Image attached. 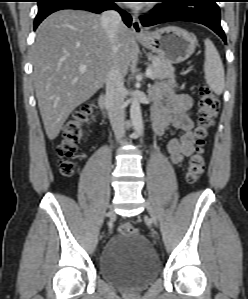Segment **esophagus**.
Returning <instances> with one entry per match:
<instances>
[{
  "mask_svg": "<svg viewBox=\"0 0 248 299\" xmlns=\"http://www.w3.org/2000/svg\"><path fill=\"white\" fill-rule=\"evenodd\" d=\"M131 29L136 38H143L147 34V31L143 28L138 16L136 15H133Z\"/></svg>",
  "mask_w": 248,
  "mask_h": 299,
  "instance_id": "obj_1",
  "label": "esophagus"
}]
</instances>
